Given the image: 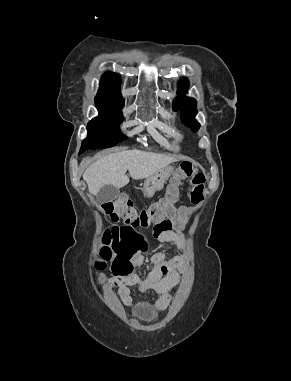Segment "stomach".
I'll list each match as a JSON object with an SVG mask.
<instances>
[{"mask_svg": "<svg viewBox=\"0 0 291 381\" xmlns=\"http://www.w3.org/2000/svg\"><path fill=\"white\" fill-rule=\"evenodd\" d=\"M174 172L173 167L167 166L146 178L142 189L144 196L150 198L156 191L162 190L164 184Z\"/></svg>", "mask_w": 291, "mask_h": 381, "instance_id": "stomach-1", "label": "stomach"}]
</instances>
